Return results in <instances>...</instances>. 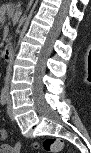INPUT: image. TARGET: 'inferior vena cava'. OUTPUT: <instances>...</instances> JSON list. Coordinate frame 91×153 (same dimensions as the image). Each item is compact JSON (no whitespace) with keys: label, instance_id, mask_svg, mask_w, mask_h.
I'll list each match as a JSON object with an SVG mask.
<instances>
[{"label":"inferior vena cava","instance_id":"obj_1","mask_svg":"<svg viewBox=\"0 0 91 153\" xmlns=\"http://www.w3.org/2000/svg\"><path fill=\"white\" fill-rule=\"evenodd\" d=\"M31 1L29 3V7L31 6ZM14 59V58H13ZM10 63H15V60H10ZM11 70H13V67L12 65L10 64L9 67H8V71H7V75H6V86H8L9 84V80H10V72Z\"/></svg>","mask_w":91,"mask_h":153}]
</instances>
